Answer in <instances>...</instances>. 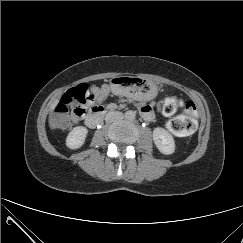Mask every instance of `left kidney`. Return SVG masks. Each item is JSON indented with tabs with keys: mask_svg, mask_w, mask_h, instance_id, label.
Segmentation results:
<instances>
[{
	"mask_svg": "<svg viewBox=\"0 0 243 243\" xmlns=\"http://www.w3.org/2000/svg\"><path fill=\"white\" fill-rule=\"evenodd\" d=\"M153 141L162 154L170 155L175 152L174 138L164 128L157 127L153 130Z\"/></svg>",
	"mask_w": 243,
	"mask_h": 243,
	"instance_id": "1",
	"label": "left kidney"
}]
</instances>
